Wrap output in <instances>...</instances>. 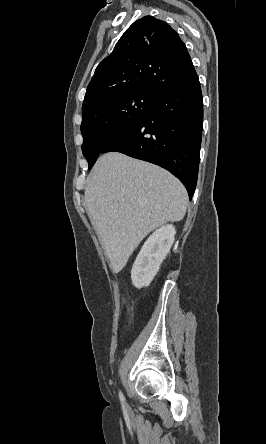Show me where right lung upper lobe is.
Instances as JSON below:
<instances>
[{
  "instance_id": "right-lung-upper-lobe-1",
  "label": "right lung upper lobe",
  "mask_w": 266,
  "mask_h": 444,
  "mask_svg": "<svg viewBox=\"0 0 266 444\" xmlns=\"http://www.w3.org/2000/svg\"><path fill=\"white\" fill-rule=\"evenodd\" d=\"M195 75L178 33L166 22L145 16L124 32L112 54L97 66L82 111L105 97L126 91H147L158 96Z\"/></svg>"
}]
</instances>
